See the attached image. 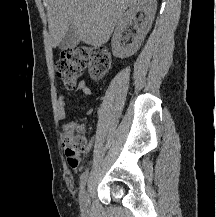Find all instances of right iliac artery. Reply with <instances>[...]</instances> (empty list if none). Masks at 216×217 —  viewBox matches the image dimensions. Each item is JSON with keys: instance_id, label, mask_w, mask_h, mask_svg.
Segmentation results:
<instances>
[{"instance_id": "82829eb1", "label": "right iliac artery", "mask_w": 216, "mask_h": 217, "mask_svg": "<svg viewBox=\"0 0 216 217\" xmlns=\"http://www.w3.org/2000/svg\"><path fill=\"white\" fill-rule=\"evenodd\" d=\"M87 177H88V171H85L84 173H82V175L80 177V189H81V191L84 189V187L86 185Z\"/></svg>"}]
</instances>
